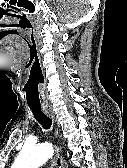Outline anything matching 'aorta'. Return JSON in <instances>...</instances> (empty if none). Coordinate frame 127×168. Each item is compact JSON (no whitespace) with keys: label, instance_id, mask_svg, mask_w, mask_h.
<instances>
[{"label":"aorta","instance_id":"aorta-1","mask_svg":"<svg viewBox=\"0 0 127 168\" xmlns=\"http://www.w3.org/2000/svg\"><path fill=\"white\" fill-rule=\"evenodd\" d=\"M53 148L48 144L24 146L12 168H39L53 155Z\"/></svg>","mask_w":127,"mask_h":168}]
</instances>
